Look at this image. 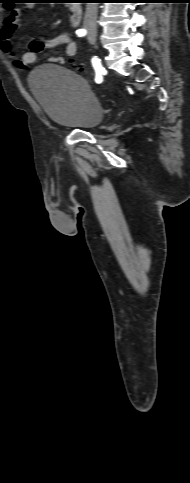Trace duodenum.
Masks as SVG:
<instances>
[{"label":"duodenum","mask_w":190,"mask_h":483,"mask_svg":"<svg viewBox=\"0 0 190 483\" xmlns=\"http://www.w3.org/2000/svg\"><path fill=\"white\" fill-rule=\"evenodd\" d=\"M69 20L72 26H78L82 20V8L75 4L69 9Z\"/></svg>","instance_id":"410a0bca"}]
</instances>
